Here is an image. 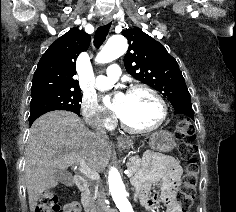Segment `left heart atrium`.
Returning <instances> with one entry per match:
<instances>
[{
    "mask_svg": "<svg viewBox=\"0 0 236 212\" xmlns=\"http://www.w3.org/2000/svg\"><path fill=\"white\" fill-rule=\"evenodd\" d=\"M125 95L122 93H117L113 97L106 98L107 106L117 115H121L123 111Z\"/></svg>",
    "mask_w": 236,
    "mask_h": 212,
    "instance_id": "39dd6f15",
    "label": "left heart atrium"
}]
</instances>
